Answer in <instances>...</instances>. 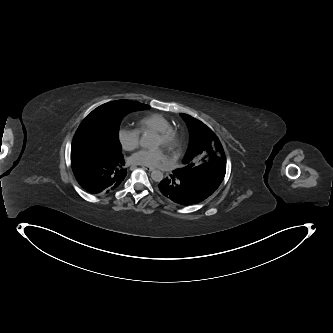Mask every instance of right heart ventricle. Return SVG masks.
I'll list each match as a JSON object with an SVG mask.
<instances>
[{"mask_svg": "<svg viewBox=\"0 0 333 333\" xmlns=\"http://www.w3.org/2000/svg\"><path fill=\"white\" fill-rule=\"evenodd\" d=\"M170 128L171 123L169 120L160 114L145 115L137 121V130L140 133H144L148 130L159 131Z\"/></svg>", "mask_w": 333, "mask_h": 333, "instance_id": "e07e8e85", "label": "right heart ventricle"}]
</instances>
